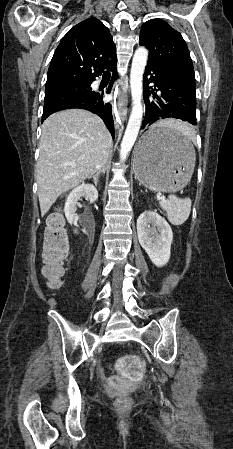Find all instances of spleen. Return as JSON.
Instances as JSON below:
<instances>
[{"mask_svg":"<svg viewBox=\"0 0 233 449\" xmlns=\"http://www.w3.org/2000/svg\"><path fill=\"white\" fill-rule=\"evenodd\" d=\"M175 128L176 133H185L189 137L192 132V125H168ZM160 207L166 211L167 218L172 225L178 226L183 224L189 217L191 212V200L189 198L181 199L174 194H170L168 199H161Z\"/></svg>","mask_w":233,"mask_h":449,"instance_id":"spleen-1","label":"spleen"}]
</instances>
